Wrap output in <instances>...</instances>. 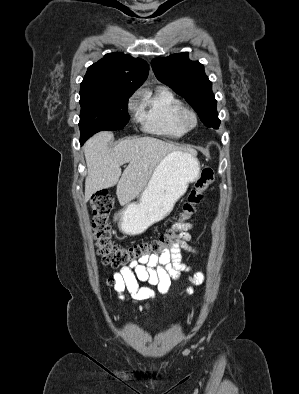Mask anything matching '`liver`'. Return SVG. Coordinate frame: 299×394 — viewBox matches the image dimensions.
I'll list each match as a JSON object with an SVG mask.
<instances>
[{
  "instance_id": "1",
  "label": "liver",
  "mask_w": 299,
  "mask_h": 394,
  "mask_svg": "<svg viewBox=\"0 0 299 394\" xmlns=\"http://www.w3.org/2000/svg\"><path fill=\"white\" fill-rule=\"evenodd\" d=\"M111 132H100L84 145L88 175L85 179V201L100 189L117 184V198L125 205L137 198L146 187L157 165L180 147L154 138L138 137L120 141L114 148L108 144ZM129 163L124 172L121 166Z\"/></svg>"
}]
</instances>
